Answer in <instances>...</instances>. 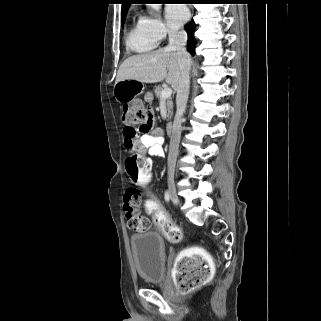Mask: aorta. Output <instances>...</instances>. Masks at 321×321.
Listing matches in <instances>:
<instances>
[{"label": "aorta", "instance_id": "1", "mask_svg": "<svg viewBox=\"0 0 321 321\" xmlns=\"http://www.w3.org/2000/svg\"><path fill=\"white\" fill-rule=\"evenodd\" d=\"M151 5V9H159L160 8V4H149Z\"/></svg>", "mask_w": 321, "mask_h": 321}]
</instances>
